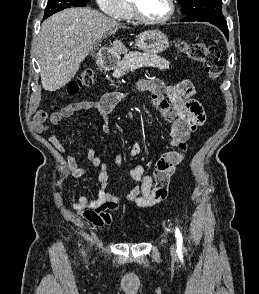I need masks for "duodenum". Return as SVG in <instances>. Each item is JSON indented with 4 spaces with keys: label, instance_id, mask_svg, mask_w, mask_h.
<instances>
[{
    "label": "duodenum",
    "instance_id": "obj_1",
    "mask_svg": "<svg viewBox=\"0 0 259 294\" xmlns=\"http://www.w3.org/2000/svg\"><path fill=\"white\" fill-rule=\"evenodd\" d=\"M118 62L117 56L112 52H102L97 60L98 65L104 70L113 69Z\"/></svg>",
    "mask_w": 259,
    "mask_h": 294
}]
</instances>
